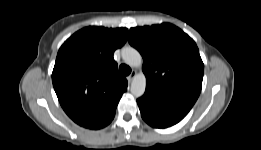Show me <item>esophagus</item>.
Listing matches in <instances>:
<instances>
[{"mask_svg": "<svg viewBox=\"0 0 261 150\" xmlns=\"http://www.w3.org/2000/svg\"><path fill=\"white\" fill-rule=\"evenodd\" d=\"M136 75H137V72H136V71H133V72L127 77L128 81H129V82H132Z\"/></svg>", "mask_w": 261, "mask_h": 150, "instance_id": "obj_1", "label": "esophagus"}]
</instances>
